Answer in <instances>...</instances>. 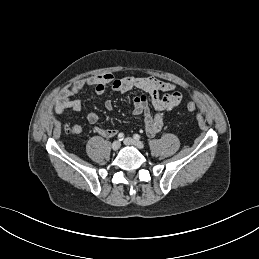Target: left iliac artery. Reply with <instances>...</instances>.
<instances>
[{"label":"left iliac artery","mask_w":259,"mask_h":259,"mask_svg":"<svg viewBox=\"0 0 259 259\" xmlns=\"http://www.w3.org/2000/svg\"><path fill=\"white\" fill-rule=\"evenodd\" d=\"M134 139H136V140H139L140 139V135H138V134H134Z\"/></svg>","instance_id":"obj_1"}]
</instances>
